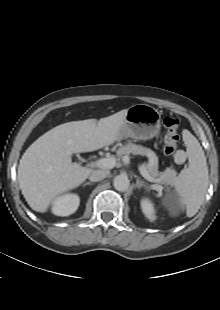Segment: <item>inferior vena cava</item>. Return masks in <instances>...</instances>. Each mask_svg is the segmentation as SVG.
Here are the masks:
<instances>
[{
  "label": "inferior vena cava",
  "mask_w": 220,
  "mask_h": 310,
  "mask_svg": "<svg viewBox=\"0 0 220 310\" xmlns=\"http://www.w3.org/2000/svg\"><path fill=\"white\" fill-rule=\"evenodd\" d=\"M108 175V171L105 170H94L89 176L90 181L98 182L106 178Z\"/></svg>",
  "instance_id": "1"
}]
</instances>
